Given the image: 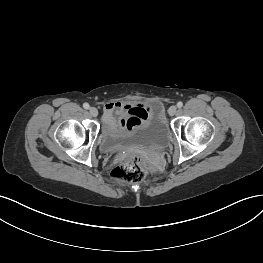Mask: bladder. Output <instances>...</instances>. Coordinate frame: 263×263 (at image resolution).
Listing matches in <instances>:
<instances>
[{
    "label": "bladder",
    "instance_id": "bladder-1",
    "mask_svg": "<svg viewBox=\"0 0 263 263\" xmlns=\"http://www.w3.org/2000/svg\"><path fill=\"white\" fill-rule=\"evenodd\" d=\"M146 114L133 126H125L122 118L114 116L112 123H106L102 141L109 149H116L127 143L147 147L164 146L169 137V129L159 103L145 104Z\"/></svg>",
    "mask_w": 263,
    "mask_h": 263
}]
</instances>
